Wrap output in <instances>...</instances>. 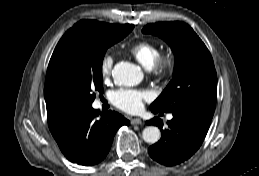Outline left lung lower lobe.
Returning <instances> with one entry per match:
<instances>
[{"label": "left lung lower lobe", "mask_w": 259, "mask_h": 176, "mask_svg": "<svg viewBox=\"0 0 259 176\" xmlns=\"http://www.w3.org/2000/svg\"><path fill=\"white\" fill-rule=\"evenodd\" d=\"M172 114L173 119L167 122L166 130L162 129L163 123L157 117L147 121V124H154L161 130V139L149 147V154L166 166L177 165L189 159L201 146L212 120L211 116L192 110Z\"/></svg>", "instance_id": "1"}]
</instances>
